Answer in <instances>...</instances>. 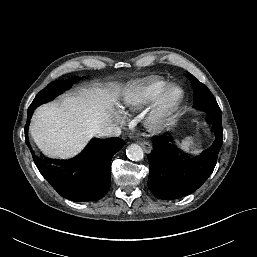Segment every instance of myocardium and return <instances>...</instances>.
Segmentation results:
<instances>
[{"label":"myocardium","instance_id":"myocardium-1","mask_svg":"<svg viewBox=\"0 0 257 257\" xmlns=\"http://www.w3.org/2000/svg\"><path fill=\"white\" fill-rule=\"evenodd\" d=\"M176 92L175 98L171 94ZM184 99L183 89L176 84L167 85L146 115L144 124L151 133L160 132L168 123L173 113L180 107Z\"/></svg>","mask_w":257,"mask_h":257}]
</instances>
